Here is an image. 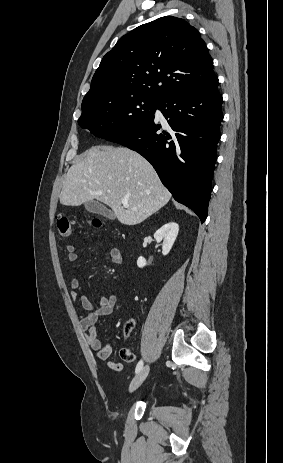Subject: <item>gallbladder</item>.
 I'll return each instance as SVG.
<instances>
[{"label": "gallbladder", "mask_w": 283, "mask_h": 463, "mask_svg": "<svg viewBox=\"0 0 283 463\" xmlns=\"http://www.w3.org/2000/svg\"><path fill=\"white\" fill-rule=\"evenodd\" d=\"M84 206L85 209L90 213L114 218V214L109 209H107L105 205L98 201H88L84 204Z\"/></svg>", "instance_id": "gallbladder-1"}]
</instances>
